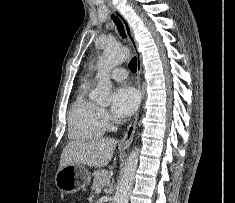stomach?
Wrapping results in <instances>:
<instances>
[{
	"mask_svg": "<svg viewBox=\"0 0 235 203\" xmlns=\"http://www.w3.org/2000/svg\"><path fill=\"white\" fill-rule=\"evenodd\" d=\"M90 180V172L84 166L77 164L59 169L55 176L57 188L65 193H75L85 188Z\"/></svg>",
	"mask_w": 235,
	"mask_h": 203,
	"instance_id": "obj_1",
	"label": "stomach"
}]
</instances>
